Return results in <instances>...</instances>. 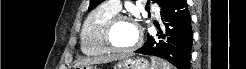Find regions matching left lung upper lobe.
Here are the masks:
<instances>
[{
    "label": "left lung upper lobe",
    "mask_w": 246,
    "mask_h": 69,
    "mask_svg": "<svg viewBox=\"0 0 246 69\" xmlns=\"http://www.w3.org/2000/svg\"><path fill=\"white\" fill-rule=\"evenodd\" d=\"M104 0H90L89 11L102 3ZM169 0H153V3H157L162 8Z\"/></svg>",
    "instance_id": "obj_1"
}]
</instances>
